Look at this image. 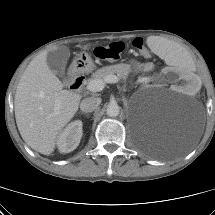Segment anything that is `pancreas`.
Returning a JSON list of instances; mask_svg holds the SVG:
<instances>
[{
	"label": "pancreas",
	"mask_w": 215,
	"mask_h": 215,
	"mask_svg": "<svg viewBox=\"0 0 215 215\" xmlns=\"http://www.w3.org/2000/svg\"><path fill=\"white\" fill-rule=\"evenodd\" d=\"M130 73V66L128 64H117L112 66L102 67L92 74L91 80H103L108 75L117 74L121 79H127L128 74Z\"/></svg>",
	"instance_id": "obj_1"
}]
</instances>
